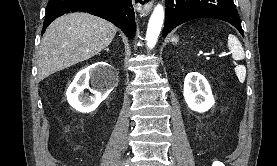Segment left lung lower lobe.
<instances>
[{"label": "left lung lower lobe", "instance_id": "1", "mask_svg": "<svg viewBox=\"0 0 277 166\" xmlns=\"http://www.w3.org/2000/svg\"><path fill=\"white\" fill-rule=\"evenodd\" d=\"M166 15L162 36L178 25L200 18L226 21L244 36L233 0H165Z\"/></svg>", "mask_w": 277, "mask_h": 166}]
</instances>
